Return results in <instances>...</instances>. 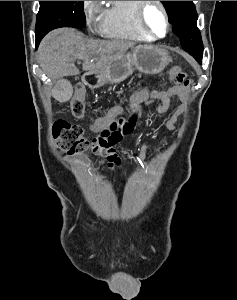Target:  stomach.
I'll list each match as a JSON object with an SVG mask.
<instances>
[{
    "label": "stomach",
    "mask_w": 237,
    "mask_h": 300,
    "mask_svg": "<svg viewBox=\"0 0 237 300\" xmlns=\"http://www.w3.org/2000/svg\"><path fill=\"white\" fill-rule=\"evenodd\" d=\"M171 55L166 49L153 45H138L133 53H119L113 63L97 69V85L122 83L133 71V67L144 75H158L167 67Z\"/></svg>",
    "instance_id": "obj_1"
}]
</instances>
